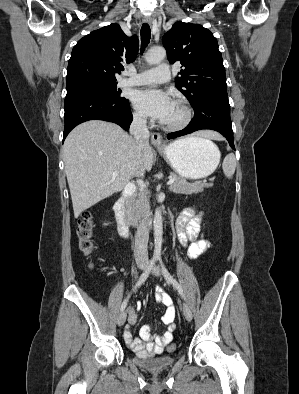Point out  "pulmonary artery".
I'll use <instances>...</instances> for the list:
<instances>
[{
  "label": "pulmonary artery",
  "instance_id": "e3ab8cb5",
  "mask_svg": "<svg viewBox=\"0 0 299 394\" xmlns=\"http://www.w3.org/2000/svg\"><path fill=\"white\" fill-rule=\"evenodd\" d=\"M169 78V66L167 64H160L153 69L146 70L133 77L122 80L120 86H143L154 83H165Z\"/></svg>",
  "mask_w": 299,
  "mask_h": 394
}]
</instances>
